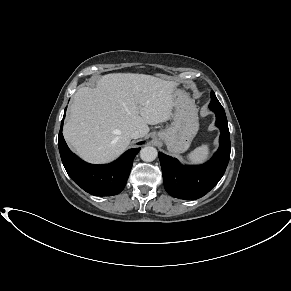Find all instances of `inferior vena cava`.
Masks as SVG:
<instances>
[{
	"instance_id": "1",
	"label": "inferior vena cava",
	"mask_w": 291,
	"mask_h": 291,
	"mask_svg": "<svg viewBox=\"0 0 291 291\" xmlns=\"http://www.w3.org/2000/svg\"><path fill=\"white\" fill-rule=\"evenodd\" d=\"M142 136H143V135H142L141 131H139V130H134V131H132L131 134H130V137H131V138H134V139L140 138V137H142Z\"/></svg>"
}]
</instances>
